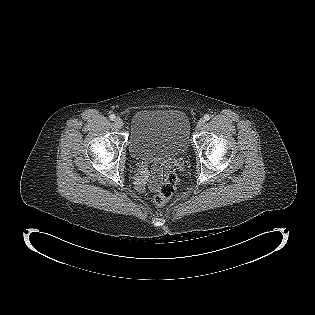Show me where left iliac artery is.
<instances>
[{
	"instance_id": "44dca946",
	"label": "left iliac artery",
	"mask_w": 315,
	"mask_h": 315,
	"mask_svg": "<svg viewBox=\"0 0 315 315\" xmlns=\"http://www.w3.org/2000/svg\"><path fill=\"white\" fill-rule=\"evenodd\" d=\"M210 118H211V116H210L209 114L204 115V120H205V121L210 120Z\"/></svg>"
}]
</instances>
